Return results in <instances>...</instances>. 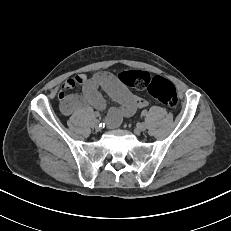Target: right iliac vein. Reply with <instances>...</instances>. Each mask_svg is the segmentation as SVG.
I'll return each instance as SVG.
<instances>
[{"instance_id": "obj_1", "label": "right iliac vein", "mask_w": 231, "mask_h": 231, "mask_svg": "<svg viewBox=\"0 0 231 231\" xmlns=\"http://www.w3.org/2000/svg\"><path fill=\"white\" fill-rule=\"evenodd\" d=\"M93 126H94L95 129L99 130L100 129L99 121L98 120H94Z\"/></svg>"}]
</instances>
